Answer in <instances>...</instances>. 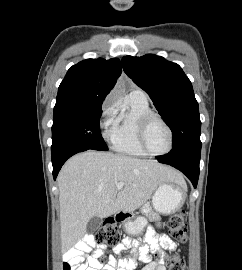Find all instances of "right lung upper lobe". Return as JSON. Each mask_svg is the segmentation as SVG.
<instances>
[{"label": "right lung upper lobe", "mask_w": 242, "mask_h": 270, "mask_svg": "<svg viewBox=\"0 0 242 270\" xmlns=\"http://www.w3.org/2000/svg\"><path fill=\"white\" fill-rule=\"evenodd\" d=\"M121 71V62L117 58L79 62L68 70L61 82L55 107L102 105Z\"/></svg>", "instance_id": "cb5924a9"}]
</instances>
